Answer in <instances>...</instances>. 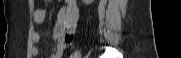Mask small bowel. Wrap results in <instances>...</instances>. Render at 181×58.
<instances>
[{
    "mask_svg": "<svg viewBox=\"0 0 181 58\" xmlns=\"http://www.w3.org/2000/svg\"><path fill=\"white\" fill-rule=\"evenodd\" d=\"M45 19L46 12L44 9L39 8L33 12L34 23L42 24ZM78 19L79 7L76 0H66L58 14L57 22L53 30L55 44L52 58H61L65 49L72 44ZM32 40L34 42L32 54L36 56L39 53V48L36 44L40 41V34L35 31L32 34Z\"/></svg>",
    "mask_w": 181,
    "mask_h": 58,
    "instance_id": "c3829d8e",
    "label": "small bowel"
}]
</instances>
